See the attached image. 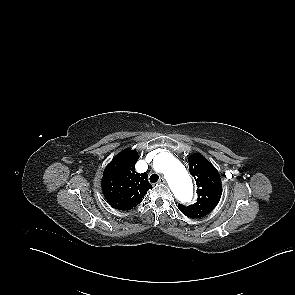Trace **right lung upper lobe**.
<instances>
[{"instance_id": "obj_1", "label": "right lung upper lobe", "mask_w": 295, "mask_h": 295, "mask_svg": "<svg viewBox=\"0 0 295 295\" xmlns=\"http://www.w3.org/2000/svg\"><path fill=\"white\" fill-rule=\"evenodd\" d=\"M138 157L135 150L126 149L119 153L104 170L103 193L107 202L116 209H132L152 188L147 180V174L135 171Z\"/></svg>"}]
</instances>
